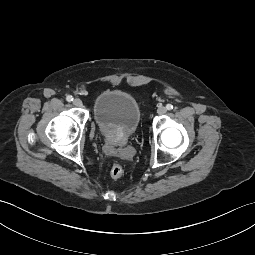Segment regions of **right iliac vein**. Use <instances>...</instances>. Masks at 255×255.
Instances as JSON below:
<instances>
[{
    "label": "right iliac vein",
    "instance_id": "1",
    "mask_svg": "<svg viewBox=\"0 0 255 255\" xmlns=\"http://www.w3.org/2000/svg\"><path fill=\"white\" fill-rule=\"evenodd\" d=\"M73 104L76 107H81L83 105L82 101L80 99H78V98L74 99Z\"/></svg>",
    "mask_w": 255,
    "mask_h": 255
}]
</instances>
